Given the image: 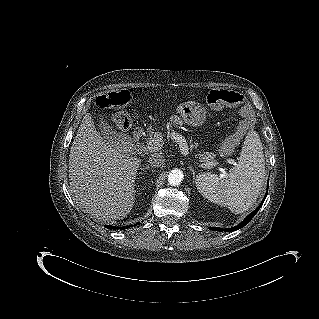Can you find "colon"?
I'll use <instances>...</instances> for the list:
<instances>
[{"label":"colon","mask_w":319,"mask_h":319,"mask_svg":"<svg viewBox=\"0 0 319 319\" xmlns=\"http://www.w3.org/2000/svg\"><path fill=\"white\" fill-rule=\"evenodd\" d=\"M130 100V93L126 90H122L118 92H109L105 95L100 96L97 99V105L99 107L107 109H120L126 106L130 102ZM207 102L209 103V105L212 106H236L243 103V97L233 90H212L207 96ZM242 112L246 114L248 112V108L244 106L242 108ZM114 121L116 128L122 131L127 130L131 124V118L129 114L122 110L118 111L115 114ZM244 128V125H242L238 133L227 138L219 144L218 149L223 156H230L233 153L235 145L239 142L240 138L242 137V130Z\"/></svg>","instance_id":"5ec220e1"}]
</instances>
